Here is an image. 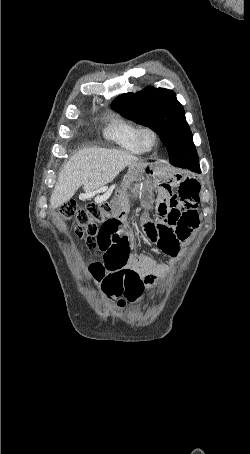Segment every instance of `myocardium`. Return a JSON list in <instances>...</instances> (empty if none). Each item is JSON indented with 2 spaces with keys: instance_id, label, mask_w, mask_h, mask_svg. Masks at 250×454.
<instances>
[{
  "instance_id": "1",
  "label": "myocardium",
  "mask_w": 250,
  "mask_h": 454,
  "mask_svg": "<svg viewBox=\"0 0 250 454\" xmlns=\"http://www.w3.org/2000/svg\"><path fill=\"white\" fill-rule=\"evenodd\" d=\"M146 136L151 137V143L146 142ZM138 142L145 151H151L156 148L159 142L157 131L151 126H141L138 130Z\"/></svg>"
}]
</instances>
